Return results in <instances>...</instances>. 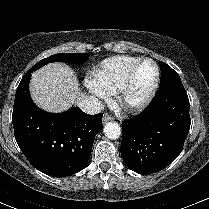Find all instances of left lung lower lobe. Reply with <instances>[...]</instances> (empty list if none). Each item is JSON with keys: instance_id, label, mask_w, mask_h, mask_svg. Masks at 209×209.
Returning a JSON list of instances; mask_svg holds the SVG:
<instances>
[{"instance_id": "1", "label": "left lung lower lobe", "mask_w": 209, "mask_h": 209, "mask_svg": "<svg viewBox=\"0 0 209 209\" xmlns=\"http://www.w3.org/2000/svg\"><path fill=\"white\" fill-rule=\"evenodd\" d=\"M189 107L183 84L159 88L141 114L122 123L121 156L126 165L146 175L177 158L190 129Z\"/></svg>"}]
</instances>
